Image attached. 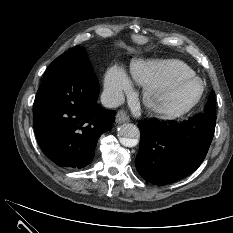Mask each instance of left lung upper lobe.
<instances>
[{"label": "left lung upper lobe", "instance_id": "obj_1", "mask_svg": "<svg viewBox=\"0 0 233 233\" xmlns=\"http://www.w3.org/2000/svg\"><path fill=\"white\" fill-rule=\"evenodd\" d=\"M215 96L214 92L212 91L209 95V100L207 104L205 105V111L204 114L207 116H215Z\"/></svg>", "mask_w": 233, "mask_h": 233}]
</instances>
